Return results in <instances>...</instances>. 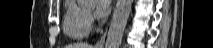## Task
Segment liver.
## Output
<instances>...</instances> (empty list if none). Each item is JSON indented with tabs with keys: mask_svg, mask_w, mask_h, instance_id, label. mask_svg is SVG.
<instances>
[{
	"mask_svg": "<svg viewBox=\"0 0 213 48\" xmlns=\"http://www.w3.org/2000/svg\"><path fill=\"white\" fill-rule=\"evenodd\" d=\"M66 48H93L92 45H89L88 43H75L73 45H69V47Z\"/></svg>",
	"mask_w": 213,
	"mask_h": 48,
	"instance_id": "1",
	"label": "liver"
}]
</instances>
